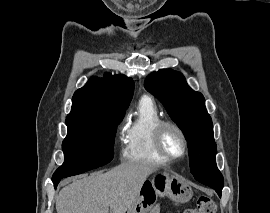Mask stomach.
Wrapping results in <instances>:
<instances>
[{
  "mask_svg": "<svg viewBox=\"0 0 270 213\" xmlns=\"http://www.w3.org/2000/svg\"><path fill=\"white\" fill-rule=\"evenodd\" d=\"M192 195L191 187L183 178L159 168L154 172L152 179L143 184L127 213H148L158 196H166L176 203H185Z\"/></svg>",
  "mask_w": 270,
  "mask_h": 213,
  "instance_id": "stomach-1",
  "label": "stomach"
}]
</instances>
